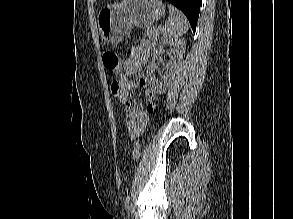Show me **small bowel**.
<instances>
[{
    "mask_svg": "<svg viewBox=\"0 0 293 219\" xmlns=\"http://www.w3.org/2000/svg\"><path fill=\"white\" fill-rule=\"evenodd\" d=\"M150 50V44L145 40L140 41L133 47L130 55L123 62L119 79L114 81L117 87L114 88L112 85V92L123 107L124 128L133 140L144 132L149 120V113H151L150 109L154 110L157 99L156 93L147 89L145 91L146 106L144 109L140 103L129 98V91L132 87L145 88L147 85L144 77L134 80H129V78L140 71L142 65L149 58Z\"/></svg>",
    "mask_w": 293,
    "mask_h": 219,
    "instance_id": "small-bowel-1",
    "label": "small bowel"
}]
</instances>
